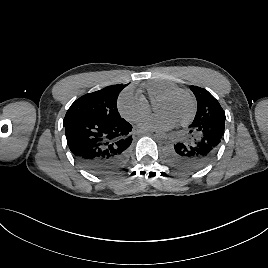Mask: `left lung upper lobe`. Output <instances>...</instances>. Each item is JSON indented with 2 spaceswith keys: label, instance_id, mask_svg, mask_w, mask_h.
Masks as SVG:
<instances>
[{
  "label": "left lung upper lobe",
  "instance_id": "5c2ea615",
  "mask_svg": "<svg viewBox=\"0 0 268 268\" xmlns=\"http://www.w3.org/2000/svg\"><path fill=\"white\" fill-rule=\"evenodd\" d=\"M190 89L197 99V113L190 125V130L209 124L216 120H225V112L219 102L206 90L197 86ZM190 134V132H189Z\"/></svg>",
  "mask_w": 268,
  "mask_h": 268
}]
</instances>
